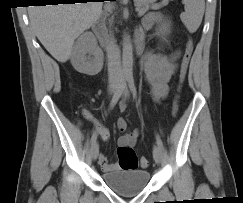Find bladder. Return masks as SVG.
Masks as SVG:
<instances>
[{
    "instance_id": "1",
    "label": "bladder",
    "mask_w": 243,
    "mask_h": 203,
    "mask_svg": "<svg viewBox=\"0 0 243 203\" xmlns=\"http://www.w3.org/2000/svg\"><path fill=\"white\" fill-rule=\"evenodd\" d=\"M104 183L122 195H134L143 191L150 181L148 170H115L102 175Z\"/></svg>"
}]
</instances>
